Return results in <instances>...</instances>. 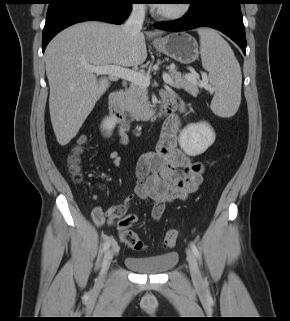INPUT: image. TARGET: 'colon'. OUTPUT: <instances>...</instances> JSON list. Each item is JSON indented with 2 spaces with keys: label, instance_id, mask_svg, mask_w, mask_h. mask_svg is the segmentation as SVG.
Returning <instances> with one entry per match:
<instances>
[{
  "label": "colon",
  "instance_id": "obj_1",
  "mask_svg": "<svg viewBox=\"0 0 290 321\" xmlns=\"http://www.w3.org/2000/svg\"><path fill=\"white\" fill-rule=\"evenodd\" d=\"M84 143L85 138L81 137L78 139L77 144L72 148L70 155L68 156V165L69 169L72 173L73 179L76 182L82 181V173H81V163L82 156L84 153ZM137 220V216L135 214L127 215L120 222V239L123 243H125L129 248L141 251L145 249L144 242L140 239L138 234L130 228V226ZM178 233L175 229H170L165 233L163 239V246L165 248H172L177 241Z\"/></svg>",
  "mask_w": 290,
  "mask_h": 321
}]
</instances>
